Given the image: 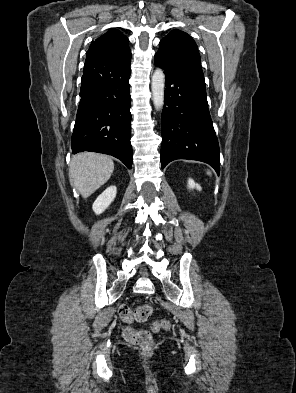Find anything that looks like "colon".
Instances as JSON below:
<instances>
[{
  "mask_svg": "<svg viewBox=\"0 0 296 393\" xmlns=\"http://www.w3.org/2000/svg\"><path fill=\"white\" fill-rule=\"evenodd\" d=\"M152 313L153 308L150 305H141L135 309H130L127 306H122L120 308V315L126 322H131L133 320L139 322L147 321ZM170 325L171 323L169 320L163 319L154 322L151 325V329L152 331L157 332L162 329H168ZM125 337L130 344L143 350H150L153 347L152 336L148 331L128 328L125 330Z\"/></svg>",
  "mask_w": 296,
  "mask_h": 393,
  "instance_id": "obj_1",
  "label": "colon"
}]
</instances>
